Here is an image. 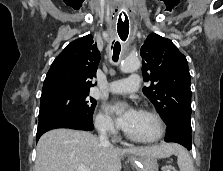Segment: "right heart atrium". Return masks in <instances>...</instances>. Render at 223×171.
I'll return each mask as SVG.
<instances>
[{
  "label": "right heart atrium",
  "mask_w": 223,
  "mask_h": 171,
  "mask_svg": "<svg viewBox=\"0 0 223 171\" xmlns=\"http://www.w3.org/2000/svg\"><path fill=\"white\" fill-rule=\"evenodd\" d=\"M95 126L100 133L105 135L114 136L117 133L113 120L104 111H99L96 115Z\"/></svg>",
  "instance_id": "d8ad5b80"
}]
</instances>
